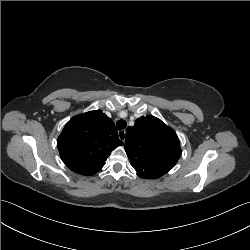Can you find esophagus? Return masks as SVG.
<instances>
[{
  "instance_id": "1",
  "label": "esophagus",
  "mask_w": 250,
  "mask_h": 250,
  "mask_svg": "<svg viewBox=\"0 0 250 250\" xmlns=\"http://www.w3.org/2000/svg\"><path fill=\"white\" fill-rule=\"evenodd\" d=\"M119 139L122 140L123 142L125 141L126 138V132L125 130H121L118 132Z\"/></svg>"
}]
</instances>
